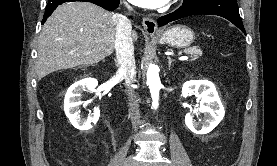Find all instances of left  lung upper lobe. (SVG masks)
Segmentation results:
<instances>
[{"mask_svg":"<svg viewBox=\"0 0 277 166\" xmlns=\"http://www.w3.org/2000/svg\"><path fill=\"white\" fill-rule=\"evenodd\" d=\"M194 0H184L183 4H188V3H191L193 2Z\"/></svg>","mask_w":277,"mask_h":166,"instance_id":"5c2ea615","label":"left lung upper lobe"}]
</instances>
